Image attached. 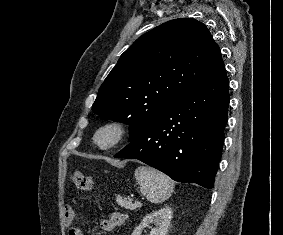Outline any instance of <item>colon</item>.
Masks as SVG:
<instances>
[{
	"label": "colon",
	"instance_id": "colon-1",
	"mask_svg": "<svg viewBox=\"0 0 283 235\" xmlns=\"http://www.w3.org/2000/svg\"><path fill=\"white\" fill-rule=\"evenodd\" d=\"M74 184L82 191L90 192L93 189L92 179L79 170H74L71 176Z\"/></svg>",
	"mask_w": 283,
	"mask_h": 235
}]
</instances>
